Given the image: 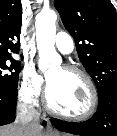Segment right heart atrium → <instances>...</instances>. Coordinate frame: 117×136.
Wrapping results in <instances>:
<instances>
[{"instance_id": "d8ad5b80", "label": "right heart atrium", "mask_w": 117, "mask_h": 136, "mask_svg": "<svg viewBox=\"0 0 117 136\" xmlns=\"http://www.w3.org/2000/svg\"><path fill=\"white\" fill-rule=\"evenodd\" d=\"M44 90L43 77L32 67L23 69L19 78L18 94L23 103L34 106Z\"/></svg>"}]
</instances>
